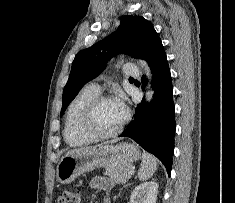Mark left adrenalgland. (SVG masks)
Wrapping results in <instances>:
<instances>
[{
    "instance_id": "left-adrenal-gland-1",
    "label": "left adrenal gland",
    "mask_w": 235,
    "mask_h": 203,
    "mask_svg": "<svg viewBox=\"0 0 235 203\" xmlns=\"http://www.w3.org/2000/svg\"><path fill=\"white\" fill-rule=\"evenodd\" d=\"M129 185H130V184H127L126 186H129ZM126 186H125V187H126ZM119 195H120V193H119Z\"/></svg>"
}]
</instances>
